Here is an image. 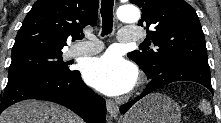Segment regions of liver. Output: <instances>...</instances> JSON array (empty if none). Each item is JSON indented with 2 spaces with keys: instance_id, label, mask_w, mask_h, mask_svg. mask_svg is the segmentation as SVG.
Returning <instances> with one entry per match:
<instances>
[{
  "instance_id": "obj_1",
  "label": "liver",
  "mask_w": 221,
  "mask_h": 123,
  "mask_svg": "<svg viewBox=\"0 0 221 123\" xmlns=\"http://www.w3.org/2000/svg\"><path fill=\"white\" fill-rule=\"evenodd\" d=\"M0 123H83L63 106L37 100L19 102L0 115Z\"/></svg>"
}]
</instances>
